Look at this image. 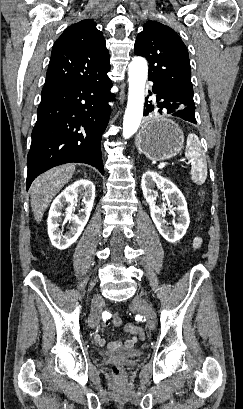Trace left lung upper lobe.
Listing matches in <instances>:
<instances>
[{
  "instance_id": "1",
  "label": "left lung upper lobe",
  "mask_w": 243,
  "mask_h": 409,
  "mask_svg": "<svg viewBox=\"0 0 243 409\" xmlns=\"http://www.w3.org/2000/svg\"><path fill=\"white\" fill-rule=\"evenodd\" d=\"M137 36L134 52L149 62V79L193 97L188 50L170 27L148 21Z\"/></svg>"
}]
</instances>
